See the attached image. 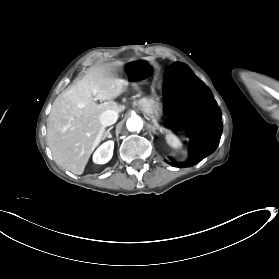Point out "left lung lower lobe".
<instances>
[{"mask_svg": "<svg viewBox=\"0 0 279 279\" xmlns=\"http://www.w3.org/2000/svg\"><path fill=\"white\" fill-rule=\"evenodd\" d=\"M163 94L166 109L188 131L190 137L189 159L170 164L178 168L195 165L218 147L222 133L219 108L210 90L187 65L180 62L165 69Z\"/></svg>", "mask_w": 279, "mask_h": 279, "instance_id": "obj_1", "label": "left lung lower lobe"}]
</instances>
